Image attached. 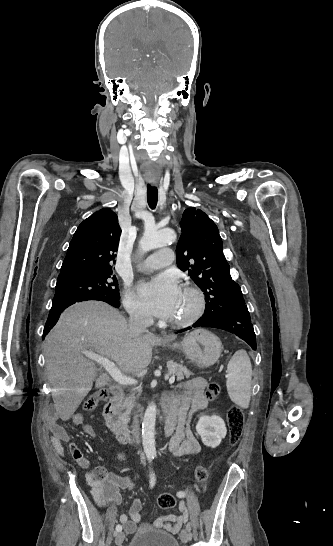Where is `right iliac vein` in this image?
<instances>
[{
    "instance_id": "obj_1",
    "label": "right iliac vein",
    "mask_w": 333,
    "mask_h": 546,
    "mask_svg": "<svg viewBox=\"0 0 333 546\" xmlns=\"http://www.w3.org/2000/svg\"><path fill=\"white\" fill-rule=\"evenodd\" d=\"M124 538H125V535H124V533H123L122 531L117 532V533L115 534V543H116L117 545L122 544L123 541H124Z\"/></svg>"
}]
</instances>
